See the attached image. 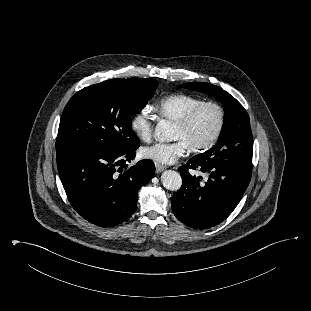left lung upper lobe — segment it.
Returning <instances> with one entry per match:
<instances>
[{
    "instance_id": "5c2ea615",
    "label": "left lung upper lobe",
    "mask_w": 311,
    "mask_h": 311,
    "mask_svg": "<svg viewBox=\"0 0 311 311\" xmlns=\"http://www.w3.org/2000/svg\"><path fill=\"white\" fill-rule=\"evenodd\" d=\"M181 87L214 96L224 106V124L216 145L194 156L200 160L242 159L252 161L253 137L244 107L229 93L208 83H184Z\"/></svg>"
}]
</instances>
